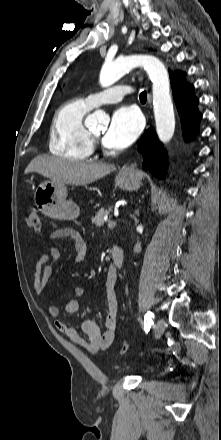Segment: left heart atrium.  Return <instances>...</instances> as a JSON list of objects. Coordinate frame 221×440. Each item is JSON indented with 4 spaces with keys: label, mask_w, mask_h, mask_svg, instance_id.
Listing matches in <instances>:
<instances>
[{
    "label": "left heart atrium",
    "mask_w": 221,
    "mask_h": 440,
    "mask_svg": "<svg viewBox=\"0 0 221 440\" xmlns=\"http://www.w3.org/2000/svg\"><path fill=\"white\" fill-rule=\"evenodd\" d=\"M142 126V117L135 108L120 107L111 117L103 142L109 148L123 149L135 141Z\"/></svg>",
    "instance_id": "1"
}]
</instances>
